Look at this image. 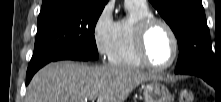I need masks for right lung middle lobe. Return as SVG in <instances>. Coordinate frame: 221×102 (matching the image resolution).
I'll use <instances>...</instances> for the list:
<instances>
[{
	"label": "right lung middle lobe",
	"instance_id": "1",
	"mask_svg": "<svg viewBox=\"0 0 221 102\" xmlns=\"http://www.w3.org/2000/svg\"><path fill=\"white\" fill-rule=\"evenodd\" d=\"M103 9L86 1L41 9L34 53L27 72L67 55L97 59L94 31Z\"/></svg>",
	"mask_w": 221,
	"mask_h": 102
}]
</instances>
